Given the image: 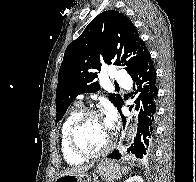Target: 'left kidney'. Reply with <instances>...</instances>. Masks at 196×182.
I'll return each mask as SVG.
<instances>
[{
    "label": "left kidney",
    "mask_w": 196,
    "mask_h": 182,
    "mask_svg": "<svg viewBox=\"0 0 196 182\" xmlns=\"http://www.w3.org/2000/svg\"><path fill=\"white\" fill-rule=\"evenodd\" d=\"M125 182H144L141 177L134 176L127 179Z\"/></svg>",
    "instance_id": "left-kidney-1"
}]
</instances>
